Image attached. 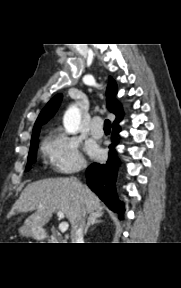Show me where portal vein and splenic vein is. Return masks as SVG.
Instances as JSON below:
<instances>
[{
  "instance_id": "portal-vein-and-splenic-vein-1",
  "label": "portal vein and splenic vein",
  "mask_w": 181,
  "mask_h": 288,
  "mask_svg": "<svg viewBox=\"0 0 181 288\" xmlns=\"http://www.w3.org/2000/svg\"><path fill=\"white\" fill-rule=\"evenodd\" d=\"M57 216H58L60 219H63V218H64V213H63L62 211H58V212H57ZM68 227H69V224H68L67 222H65V221H63V222H61V223L59 224V230H60L61 232L67 231Z\"/></svg>"
}]
</instances>
